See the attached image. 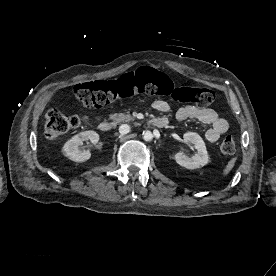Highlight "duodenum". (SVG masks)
I'll list each match as a JSON object with an SVG mask.
<instances>
[{
  "instance_id": "obj_1",
  "label": "duodenum",
  "mask_w": 276,
  "mask_h": 276,
  "mask_svg": "<svg viewBox=\"0 0 276 276\" xmlns=\"http://www.w3.org/2000/svg\"><path fill=\"white\" fill-rule=\"evenodd\" d=\"M150 124L154 127L163 128L167 126L168 121L165 118H153L150 120ZM102 132H109L112 129V123L109 121H102L98 125Z\"/></svg>"
}]
</instances>
